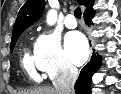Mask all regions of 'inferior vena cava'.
I'll list each match as a JSON object with an SVG mask.
<instances>
[{
  "mask_svg": "<svg viewBox=\"0 0 121 94\" xmlns=\"http://www.w3.org/2000/svg\"><path fill=\"white\" fill-rule=\"evenodd\" d=\"M78 78V70L72 64H66L62 74L55 83L58 94H74V84Z\"/></svg>",
  "mask_w": 121,
  "mask_h": 94,
  "instance_id": "602c4592",
  "label": "inferior vena cava"
}]
</instances>
